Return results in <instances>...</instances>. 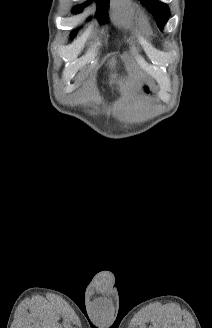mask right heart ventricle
Masks as SVG:
<instances>
[{"label":"right heart ventricle","mask_w":212,"mask_h":328,"mask_svg":"<svg viewBox=\"0 0 212 328\" xmlns=\"http://www.w3.org/2000/svg\"><path fill=\"white\" fill-rule=\"evenodd\" d=\"M113 15L117 23L128 25L134 19L133 3L131 0H115Z\"/></svg>","instance_id":"e07e8e85"}]
</instances>
